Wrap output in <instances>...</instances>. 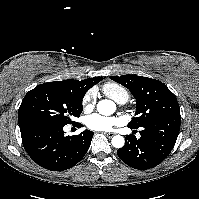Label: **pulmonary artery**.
<instances>
[{
	"label": "pulmonary artery",
	"mask_w": 199,
	"mask_h": 199,
	"mask_svg": "<svg viewBox=\"0 0 199 199\" xmlns=\"http://www.w3.org/2000/svg\"><path fill=\"white\" fill-rule=\"evenodd\" d=\"M125 102H126V101H120L119 103H120V104H123V103H125Z\"/></svg>",
	"instance_id": "obj_1"
}]
</instances>
